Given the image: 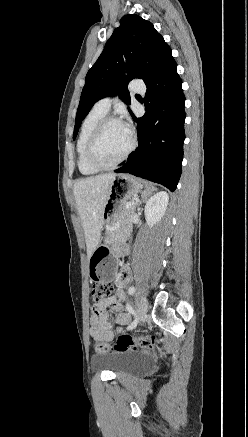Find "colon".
I'll return each instance as SVG.
<instances>
[{"instance_id": "colon-1", "label": "colon", "mask_w": 248, "mask_h": 437, "mask_svg": "<svg viewBox=\"0 0 248 437\" xmlns=\"http://www.w3.org/2000/svg\"><path fill=\"white\" fill-rule=\"evenodd\" d=\"M112 291L111 286H92L91 297L94 302H100L107 298ZM157 346L156 337H130L127 335L120 336L115 344L109 345L103 341H97L94 344V349L97 353L127 352L137 349L153 350Z\"/></svg>"}]
</instances>
